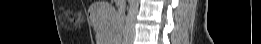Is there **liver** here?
<instances>
[{"mask_svg":"<svg viewBox=\"0 0 261 44\" xmlns=\"http://www.w3.org/2000/svg\"><path fill=\"white\" fill-rule=\"evenodd\" d=\"M90 7L92 13H116V8H112L106 3H100ZM95 24H121V19H118V14H93ZM93 30H98L96 40L98 44H119L118 41L110 40H121V30L119 25H93Z\"/></svg>","mask_w":261,"mask_h":44,"instance_id":"6515ba94","label":"liver"}]
</instances>
